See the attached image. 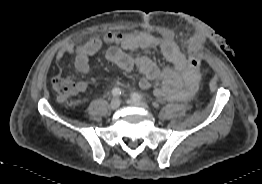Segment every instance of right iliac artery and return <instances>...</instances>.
<instances>
[{
    "label": "right iliac artery",
    "instance_id": "82829eb1",
    "mask_svg": "<svg viewBox=\"0 0 262 184\" xmlns=\"http://www.w3.org/2000/svg\"><path fill=\"white\" fill-rule=\"evenodd\" d=\"M112 95L116 96V97L120 96L121 95V89L118 88V87L113 88L112 89Z\"/></svg>",
    "mask_w": 262,
    "mask_h": 184
}]
</instances>
